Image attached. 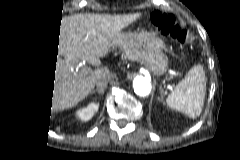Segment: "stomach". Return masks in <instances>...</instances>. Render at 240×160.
I'll list each match as a JSON object with an SVG mask.
<instances>
[{
    "label": "stomach",
    "instance_id": "0dacf381",
    "mask_svg": "<svg viewBox=\"0 0 240 160\" xmlns=\"http://www.w3.org/2000/svg\"><path fill=\"white\" fill-rule=\"evenodd\" d=\"M116 45L123 50L127 58L141 60L156 75H162L168 69V59L162 52L159 37L154 33H121Z\"/></svg>",
    "mask_w": 240,
    "mask_h": 160
}]
</instances>
